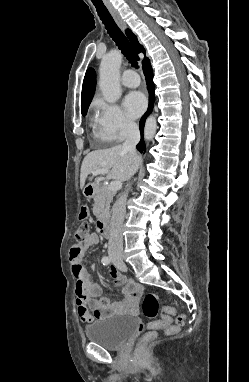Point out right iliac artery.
Masks as SVG:
<instances>
[{
  "label": "right iliac artery",
  "instance_id": "obj_1",
  "mask_svg": "<svg viewBox=\"0 0 249 382\" xmlns=\"http://www.w3.org/2000/svg\"><path fill=\"white\" fill-rule=\"evenodd\" d=\"M102 263H103V265H108L110 263V259L108 257H103Z\"/></svg>",
  "mask_w": 249,
  "mask_h": 382
}]
</instances>
